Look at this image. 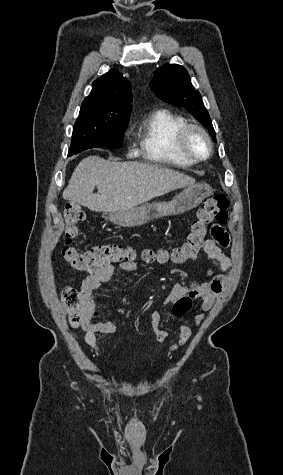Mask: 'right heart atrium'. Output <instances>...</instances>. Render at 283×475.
Returning a JSON list of instances; mask_svg holds the SVG:
<instances>
[{
	"instance_id": "d8ad5b80",
	"label": "right heart atrium",
	"mask_w": 283,
	"mask_h": 475,
	"mask_svg": "<svg viewBox=\"0 0 283 475\" xmlns=\"http://www.w3.org/2000/svg\"><path fill=\"white\" fill-rule=\"evenodd\" d=\"M126 151L129 155H131L134 152V148L129 142H127L126 144Z\"/></svg>"
}]
</instances>
